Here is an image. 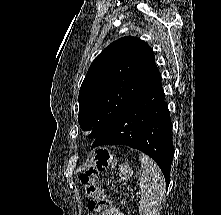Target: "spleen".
Returning <instances> with one entry per match:
<instances>
[{"label": "spleen", "mask_w": 221, "mask_h": 215, "mask_svg": "<svg viewBox=\"0 0 221 215\" xmlns=\"http://www.w3.org/2000/svg\"><path fill=\"white\" fill-rule=\"evenodd\" d=\"M140 215H156L165 193V179L158 165L149 156L140 154Z\"/></svg>", "instance_id": "spleen-1"}]
</instances>
